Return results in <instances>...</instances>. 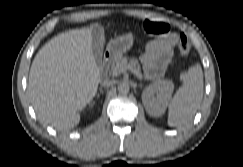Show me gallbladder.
Listing matches in <instances>:
<instances>
[{
	"label": "gallbladder",
	"mask_w": 243,
	"mask_h": 167,
	"mask_svg": "<svg viewBox=\"0 0 243 167\" xmlns=\"http://www.w3.org/2000/svg\"><path fill=\"white\" fill-rule=\"evenodd\" d=\"M104 38L103 29L100 26H95L92 28V51L95 57L96 63L102 61L103 44L102 40Z\"/></svg>",
	"instance_id": "gallbladder-1"
}]
</instances>
